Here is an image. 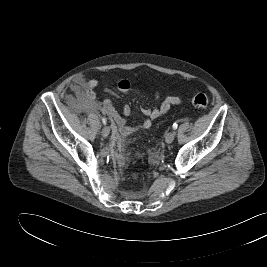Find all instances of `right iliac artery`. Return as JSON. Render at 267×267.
<instances>
[{
	"mask_svg": "<svg viewBox=\"0 0 267 267\" xmlns=\"http://www.w3.org/2000/svg\"><path fill=\"white\" fill-rule=\"evenodd\" d=\"M106 122H107L106 119L105 118H102V123L103 124H106Z\"/></svg>",
	"mask_w": 267,
	"mask_h": 267,
	"instance_id": "right-iliac-artery-1",
	"label": "right iliac artery"
}]
</instances>
